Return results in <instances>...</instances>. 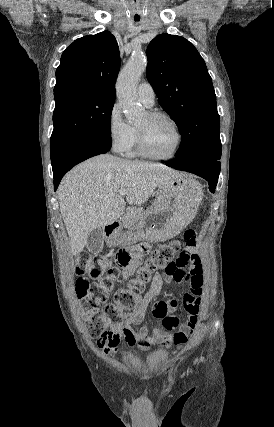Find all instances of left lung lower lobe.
<instances>
[{"instance_id":"0a47b994","label":"left lung lower lobe","mask_w":274,"mask_h":427,"mask_svg":"<svg viewBox=\"0 0 274 427\" xmlns=\"http://www.w3.org/2000/svg\"><path fill=\"white\" fill-rule=\"evenodd\" d=\"M220 158L221 147H218L194 156L176 157L175 159L165 162V164L172 168L203 177L208 181L210 191L214 193L220 172V162L218 161Z\"/></svg>"}]
</instances>
